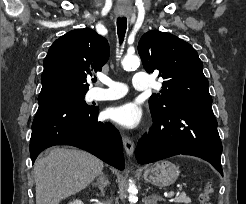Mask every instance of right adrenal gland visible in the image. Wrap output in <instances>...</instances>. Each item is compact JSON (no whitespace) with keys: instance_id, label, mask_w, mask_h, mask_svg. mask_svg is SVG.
<instances>
[{"instance_id":"obj_1","label":"right adrenal gland","mask_w":246,"mask_h":204,"mask_svg":"<svg viewBox=\"0 0 246 204\" xmlns=\"http://www.w3.org/2000/svg\"><path fill=\"white\" fill-rule=\"evenodd\" d=\"M92 185L95 186V187H98V189L100 190V195L102 197H104V195H105V187H107L109 185V181L107 179V176L103 172H101L98 175V178H97L96 182H93Z\"/></svg>"}]
</instances>
